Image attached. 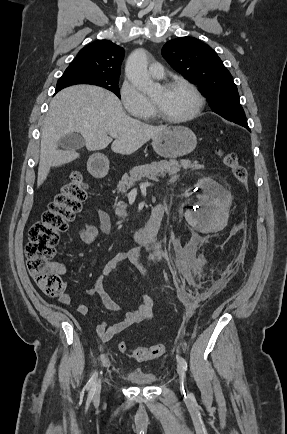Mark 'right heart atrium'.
<instances>
[{
	"label": "right heart atrium",
	"mask_w": 287,
	"mask_h": 434,
	"mask_svg": "<svg viewBox=\"0 0 287 434\" xmlns=\"http://www.w3.org/2000/svg\"><path fill=\"white\" fill-rule=\"evenodd\" d=\"M120 98L126 111L133 116H146L152 112L151 102L128 79L121 85Z\"/></svg>",
	"instance_id": "right-heart-atrium-1"
}]
</instances>
